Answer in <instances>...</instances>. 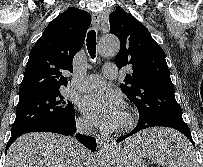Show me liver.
Here are the masks:
<instances>
[{"mask_svg": "<svg viewBox=\"0 0 203 167\" xmlns=\"http://www.w3.org/2000/svg\"><path fill=\"white\" fill-rule=\"evenodd\" d=\"M164 132L171 136L180 135L170 130ZM152 135L154 133L145 138L138 135L127 143L137 144ZM82 157L84 167H90L85 149L73 138L51 133H28L10 146L4 167H81Z\"/></svg>", "mask_w": 203, "mask_h": 167, "instance_id": "obj_1", "label": "liver"}]
</instances>
